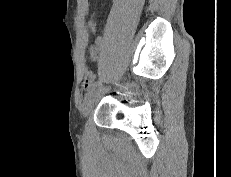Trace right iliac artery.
<instances>
[{"mask_svg": "<svg viewBox=\"0 0 231 177\" xmlns=\"http://www.w3.org/2000/svg\"><path fill=\"white\" fill-rule=\"evenodd\" d=\"M97 86V82L90 85L88 92L92 91Z\"/></svg>", "mask_w": 231, "mask_h": 177, "instance_id": "82829eb1", "label": "right iliac artery"}]
</instances>
